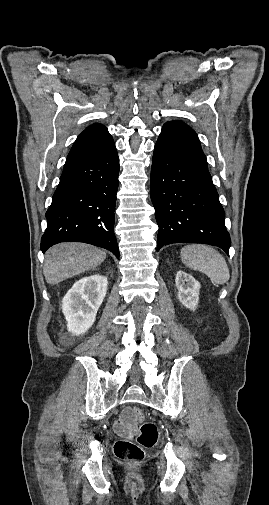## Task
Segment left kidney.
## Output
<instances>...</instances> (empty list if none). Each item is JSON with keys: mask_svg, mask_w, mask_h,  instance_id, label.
I'll return each mask as SVG.
<instances>
[{"mask_svg": "<svg viewBox=\"0 0 269 505\" xmlns=\"http://www.w3.org/2000/svg\"><path fill=\"white\" fill-rule=\"evenodd\" d=\"M175 285L178 289L179 301L183 306L194 311L198 306L200 283L192 275L179 270L176 274Z\"/></svg>", "mask_w": 269, "mask_h": 505, "instance_id": "1", "label": "left kidney"}]
</instances>
